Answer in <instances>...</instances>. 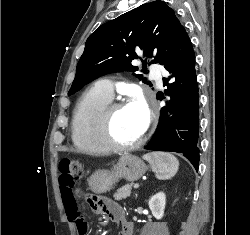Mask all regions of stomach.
<instances>
[{
  "label": "stomach",
  "instance_id": "0dacf381",
  "mask_svg": "<svg viewBox=\"0 0 250 235\" xmlns=\"http://www.w3.org/2000/svg\"><path fill=\"white\" fill-rule=\"evenodd\" d=\"M146 170L147 166L139 157L128 153L123 154L112 170H99L91 176L90 190L96 194L106 193L120 179L134 182L143 176Z\"/></svg>",
  "mask_w": 250,
  "mask_h": 235
}]
</instances>
